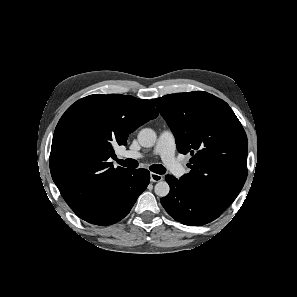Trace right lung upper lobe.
I'll list each match as a JSON object with an SVG mask.
<instances>
[{"mask_svg": "<svg viewBox=\"0 0 297 297\" xmlns=\"http://www.w3.org/2000/svg\"><path fill=\"white\" fill-rule=\"evenodd\" d=\"M158 112L149 100L94 94L71 105L52 140L50 171L61 195L78 217L90 213L131 169L114 168L112 144L127 138Z\"/></svg>", "mask_w": 297, "mask_h": 297, "instance_id": "right-lung-upper-lobe-1", "label": "right lung upper lobe"}]
</instances>
